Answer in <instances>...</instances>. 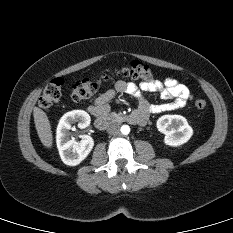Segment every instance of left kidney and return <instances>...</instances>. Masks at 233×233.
Here are the masks:
<instances>
[{
  "label": "left kidney",
  "mask_w": 233,
  "mask_h": 233,
  "mask_svg": "<svg viewBox=\"0 0 233 233\" xmlns=\"http://www.w3.org/2000/svg\"><path fill=\"white\" fill-rule=\"evenodd\" d=\"M156 125L158 131L165 135L164 143L172 147L183 145L193 135L192 127L181 115H163Z\"/></svg>",
  "instance_id": "obj_1"
}]
</instances>
